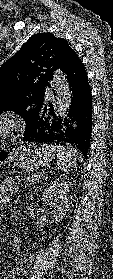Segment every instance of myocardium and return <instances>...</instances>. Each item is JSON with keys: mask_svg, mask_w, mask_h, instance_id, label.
<instances>
[{"mask_svg": "<svg viewBox=\"0 0 113 279\" xmlns=\"http://www.w3.org/2000/svg\"><path fill=\"white\" fill-rule=\"evenodd\" d=\"M23 128L21 118L12 111L0 113V137H7L20 132Z\"/></svg>", "mask_w": 113, "mask_h": 279, "instance_id": "obj_1", "label": "myocardium"}]
</instances>
